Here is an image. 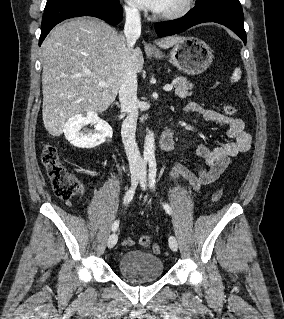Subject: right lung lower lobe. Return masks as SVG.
I'll use <instances>...</instances> for the list:
<instances>
[{
  "label": "right lung lower lobe",
  "mask_w": 284,
  "mask_h": 319,
  "mask_svg": "<svg viewBox=\"0 0 284 319\" xmlns=\"http://www.w3.org/2000/svg\"><path fill=\"white\" fill-rule=\"evenodd\" d=\"M78 16H93L100 18L111 25L122 20V7L119 1L114 4L96 2H70L44 11L39 46L50 30L61 21Z\"/></svg>",
  "instance_id": "right-lung-lower-lobe-1"
}]
</instances>
